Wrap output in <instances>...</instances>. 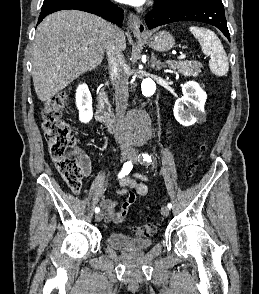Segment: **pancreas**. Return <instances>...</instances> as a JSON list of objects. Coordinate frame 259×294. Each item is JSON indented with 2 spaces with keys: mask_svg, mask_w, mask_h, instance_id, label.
<instances>
[{
  "mask_svg": "<svg viewBox=\"0 0 259 294\" xmlns=\"http://www.w3.org/2000/svg\"><path fill=\"white\" fill-rule=\"evenodd\" d=\"M203 67L202 63L198 61H181L176 64L169 63V68L177 73H181L184 76L197 77Z\"/></svg>",
  "mask_w": 259,
  "mask_h": 294,
  "instance_id": "cf45deb5",
  "label": "pancreas"
}]
</instances>
